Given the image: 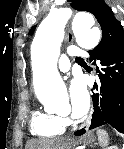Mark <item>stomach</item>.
Segmentation results:
<instances>
[{
  "label": "stomach",
  "mask_w": 124,
  "mask_h": 149,
  "mask_svg": "<svg viewBox=\"0 0 124 149\" xmlns=\"http://www.w3.org/2000/svg\"><path fill=\"white\" fill-rule=\"evenodd\" d=\"M93 140H94V138L92 135L88 136V141H93Z\"/></svg>",
  "instance_id": "obj_1"
}]
</instances>
